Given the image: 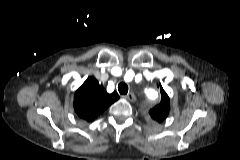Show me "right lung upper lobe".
Returning a JSON list of instances; mask_svg holds the SVG:
<instances>
[{"instance_id":"cb5924a9","label":"right lung upper lobe","mask_w":240,"mask_h":160,"mask_svg":"<svg viewBox=\"0 0 240 160\" xmlns=\"http://www.w3.org/2000/svg\"><path fill=\"white\" fill-rule=\"evenodd\" d=\"M118 99L116 92L108 94L96 79L89 77L75 92L74 109L78 116L92 121Z\"/></svg>"}]
</instances>
